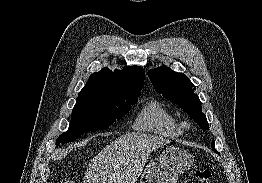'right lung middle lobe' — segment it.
Listing matches in <instances>:
<instances>
[{
	"label": "right lung middle lobe",
	"mask_w": 262,
	"mask_h": 183,
	"mask_svg": "<svg viewBox=\"0 0 262 183\" xmlns=\"http://www.w3.org/2000/svg\"><path fill=\"white\" fill-rule=\"evenodd\" d=\"M137 101L138 99L103 100L78 97L72 110L69 129L57 138L56 144L71 142L88 131L108 128L129 112L131 105Z\"/></svg>",
	"instance_id": "dd1d6c3e"
}]
</instances>
